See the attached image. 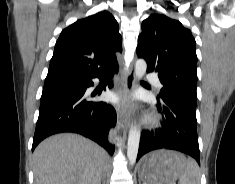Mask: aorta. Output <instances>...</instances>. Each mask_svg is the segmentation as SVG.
<instances>
[{
  "label": "aorta",
  "instance_id": "762f6f07",
  "mask_svg": "<svg viewBox=\"0 0 235 184\" xmlns=\"http://www.w3.org/2000/svg\"><path fill=\"white\" fill-rule=\"evenodd\" d=\"M147 70V64L145 60H137L135 64V76L137 80H142L145 72ZM141 132L138 130L137 126H133L129 130L128 144H127V158L130 164H135L140 142Z\"/></svg>",
  "mask_w": 235,
  "mask_h": 184
}]
</instances>
